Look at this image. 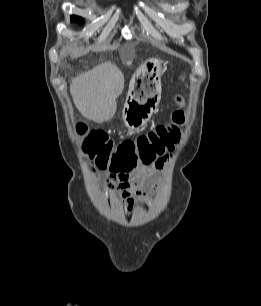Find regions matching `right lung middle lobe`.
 Instances as JSON below:
<instances>
[{
    "label": "right lung middle lobe",
    "instance_id": "1",
    "mask_svg": "<svg viewBox=\"0 0 261 306\" xmlns=\"http://www.w3.org/2000/svg\"><path fill=\"white\" fill-rule=\"evenodd\" d=\"M72 22H78L79 24L84 23V19L78 16H72L71 17Z\"/></svg>",
    "mask_w": 261,
    "mask_h": 306
}]
</instances>
